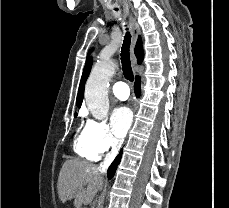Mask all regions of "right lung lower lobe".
<instances>
[{
  "label": "right lung lower lobe",
  "mask_w": 229,
  "mask_h": 208,
  "mask_svg": "<svg viewBox=\"0 0 229 208\" xmlns=\"http://www.w3.org/2000/svg\"><path fill=\"white\" fill-rule=\"evenodd\" d=\"M140 77L139 76H136V82H135V85H134V90H135V93H136V96L139 97L140 95ZM121 156H122V151L119 153V155L115 158V160L113 161V163L110 165L108 171H107V176H108V179H112L114 174H115V171L117 169V166L118 164L120 163V160H121Z\"/></svg>",
  "instance_id": "right-lung-lower-lobe-1"
}]
</instances>
